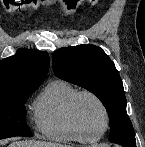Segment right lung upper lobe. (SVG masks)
Instances as JSON below:
<instances>
[{"instance_id": "cb5924a9", "label": "right lung upper lobe", "mask_w": 145, "mask_h": 147, "mask_svg": "<svg viewBox=\"0 0 145 147\" xmlns=\"http://www.w3.org/2000/svg\"><path fill=\"white\" fill-rule=\"evenodd\" d=\"M49 69L45 51L19 49L0 61V92L26 86H40Z\"/></svg>"}]
</instances>
